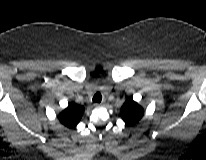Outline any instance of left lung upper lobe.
I'll return each mask as SVG.
<instances>
[{
    "mask_svg": "<svg viewBox=\"0 0 206 160\" xmlns=\"http://www.w3.org/2000/svg\"><path fill=\"white\" fill-rule=\"evenodd\" d=\"M120 115L128 126H133L143 117L144 109L131 98L121 107Z\"/></svg>",
    "mask_w": 206,
    "mask_h": 160,
    "instance_id": "left-lung-upper-lobe-1",
    "label": "left lung upper lobe"
}]
</instances>
